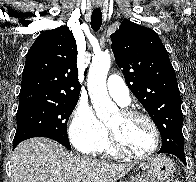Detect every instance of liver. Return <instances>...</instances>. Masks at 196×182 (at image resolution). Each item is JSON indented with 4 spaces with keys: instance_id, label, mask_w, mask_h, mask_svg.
Here are the masks:
<instances>
[{
    "instance_id": "obj_1",
    "label": "liver",
    "mask_w": 196,
    "mask_h": 182,
    "mask_svg": "<svg viewBox=\"0 0 196 182\" xmlns=\"http://www.w3.org/2000/svg\"><path fill=\"white\" fill-rule=\"evenodd\" d=\"M133 167L80 157L54 140L37 137L15 148L10 182H115Z\"/></svg>"
}]
</instances>
